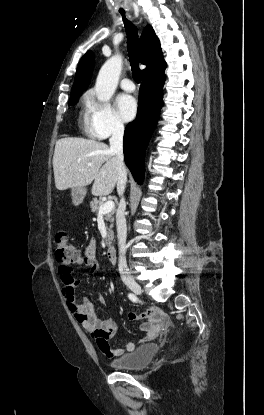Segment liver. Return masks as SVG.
Here are the masks:
<instances>
[{
  "mask_svg": "<svg viewBox=\"0 0 264 415\" xmlns=\"http://www.w3.org/2000/svg\"><path fill=\"white\" fill-rule=\"evenodd\" d=\"M53 170L58 190L85 187L94 180V196L111 194L118 178V164L109 146L79 137L62 138L56 142Z\"/></svg>",
  "mask_w": 264,
  "mask_h": 415,
  "instance_id": "liver-1",
  "label": "liver"
}]
</instances>
